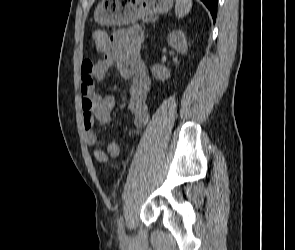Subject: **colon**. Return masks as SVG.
Returning a JSON list of instances; mask_svg holds the SVG:
<instances>
[{
	"instance_id": "5ec220e1",
	"label": "colon",
	"mask_w": 295,
	"mask_h": 250,
	"mask_svg": "<svg viewBox=\"0 0 295 250\" xmlns=\"http://www.w3.org/2000/svg\"><path fill=\"white\" fill-rule=\"evenodd\" d=\"M90 41L95 45L97 49H101L104 47L108 41L107 35L102 30H94L90 34ZM98 161L104 162L106 161V155H101L97 158Z\"/></svg>"
}]
</instances>
